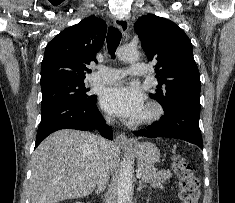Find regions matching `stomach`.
Masks as SVG:
<instances>
[{"label":"stomach","mask_w":235,"mask_h":203,"mask_svg":"<svg viewBox=\"0 0 235 203\" xmlns=\"http://www.w3.org/2000/svg\"><path fill=\"white\" fill-rule=\"evenodd\" d=\"M133 152L140 164L153 165L160 159V151L157 146L150 142L138 143L132 149L124 148Z\"/></svg>","instance_id":"obj_1"}]
</instances>
